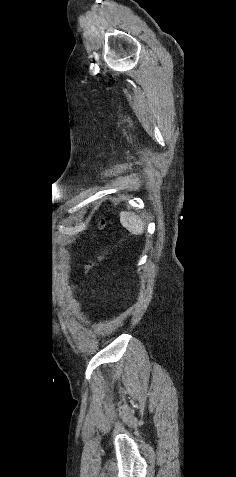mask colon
I'll return each instance as SVG.
<instances>
[{
	"mask_svg": "<svg viewBox=\"0 0 236 477\" xmlns=\"http://www.w3.org/2000/svg\"><path fill=\"white\" fill-rule=\"evenodd\" d=\"M92 266H93V263H90V264L86 267V269H90Z\"/></svg>",
	"mask_w": 236,
	"mask_h": 477,
	"instance_id": "1",
	"label": "colon"
}]
</instances>
